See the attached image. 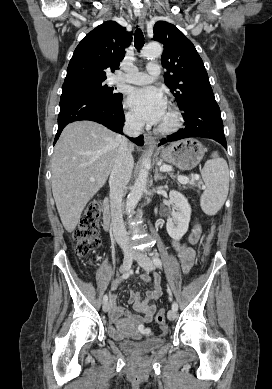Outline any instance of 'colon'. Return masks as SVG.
<instances>
[{"label":"colon","instance_id":"1","mask_svg":"<svg viewBox=\"0 0 272 389\" xmlns=\"http://www.w3.org/2000/svg\"><path fill=\"white\" fill-rule=\"evenodd\" d=\"M100 215L101 205L98 202L91 203L83 213L79 225L73 234L76 242L75 252L77 255H87L100 246L101 241L98 233ZM214 235L215 226L211 228V231L208 234L204 253L205 256L209 254ZM155 320L159 325L165 324V311L163 309L157 312Z\"/></svg>","mask_w":272,"mask_h":389}]
</instances>
